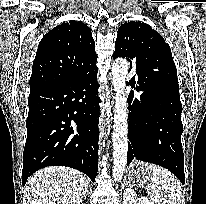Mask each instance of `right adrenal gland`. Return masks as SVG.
<instances>
[{
	"mask_svg": "<svg viewBox=\"0 0 206 204\" xmlns=\"http://www.w3.org/2000/svg\"><path fill=\"white\" fill-rule=\"evenodd\" d=\"M89 193V191L87 190V194ZM87 194H86V196H87ZM86 196H85V199H86Z\"/></svg>",
	"mask_w": 206,
	"mask_h": 204,
	"instance_id": "right-adrenal-gland-1",
	"label": "right adrenal gland"
}]
</instances>
